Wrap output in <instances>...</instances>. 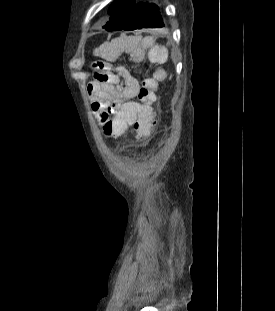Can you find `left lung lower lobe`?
<instances>
[{"label": "left lung lower lobe", "instance_id": "left-lung-lower-lobe-1", "mask_svg": "<svg viewBox=\"0 0 275 311\" xmlns=\"http://www.w3.org/2000/svg\"><path fill=\"white\" fill-rule=\"evenodd\" d=\"M164 27L159 9L155 4H143L136 18L123 30L132 31L144 28Z\"/></svg>", "mask_w": 275, "mask_h": 311}]
</instances>
